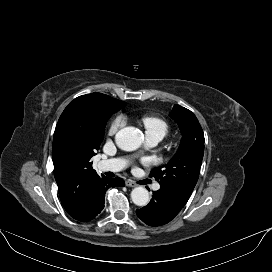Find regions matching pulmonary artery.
Listing matches in <instances>:
<instances>
[{"label":"pulmonary artery","instance_id":"obj_1","mask_svg":"<svg viewBox=\"0 0 272 272\" xmlns=\"http://www.w3.org/2000/svg\"><path fill=\"white\" fill-rule=\"evenodd\" d=\"M163 134L161 133H147L146 135V144L148 147H153L157 145L160 140L163 138ZM128 162L125 159L121 158H113V159H107V160H102L99 163V168L102 171H120L124 167H126ZM160 188L159 184L154 185V189L158 190Z\"/></svg>","mask_w":272,"mask_h":272}]
</instances>
